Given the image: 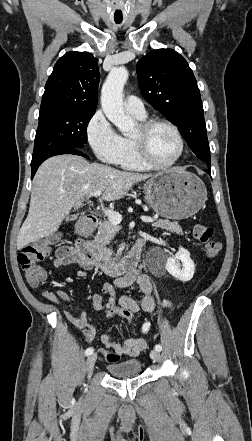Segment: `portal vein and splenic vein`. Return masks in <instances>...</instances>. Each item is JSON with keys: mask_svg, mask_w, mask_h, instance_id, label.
Returning <instances> with one entry per match:
<instances>
[{"mask_svg": "<svg viewBox=\"0 0 252 441\" xmlns=\"http://www.w3.org/2000/svg\"><path fill=\"white\" fill-rule=\"evenodd\" d=\"M102 194V191H100V190H98V191H94V192H92V193H89V195L87 196L88 198L89 197H98V196H100ZM104 214H105V216H107V218H108V220H109V222L111 223V224H113V225H118V224H120V222L122 221V216L118 213V212H116V211H113V210H104ZM141 220L143 221V222H146V223H150V222H153V221H155L156 219H153V218H151V217H148V216H142L141 217Z\"/></svg>", "mask_w": 252, "mask_h": 441, "instance_id": "18ae733b", "label": "portal vein and splenic vein"}]
</instances>
